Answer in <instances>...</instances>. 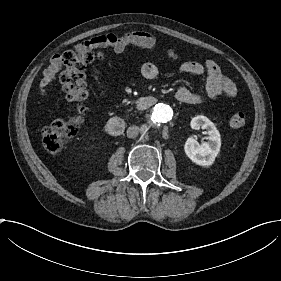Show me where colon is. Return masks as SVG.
Instances as JSON below:
<instances>
[{
    "label": "colon",
    "mask_w": 281,
    "mask_h": 281,
    "mask_svg": "<svg viewBox=\"0 0 281 281\" xmlns=\"http://www.w3.org/2000/svg\"><path fill=\"white\" fill-rule=\"evenodd\" d=\"M103 38L104 36L81 42L62 56L66 69L62 71L60 80L66 106L63 114L47 126L42 134L43 145L51 155H57L86 126L85 103L89 96L86 67L95 60L104 59L106 50H111L104 45ZM230 122L233 127L241 128L246 125L247 118L243 113L235 112Z\"/></svg>",
    "instance_id": "obj_1"
}]
</instances>
